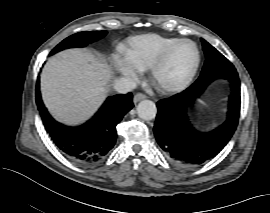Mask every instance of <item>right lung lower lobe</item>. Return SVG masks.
<instances>
[{"mask_svg":"<svg viewBox=\"0 0 270 213\" xmlns=\"http://www.w3.org/2000/svg\"><path fill=\"white\" fill-rule=\"evenodd\" d=\"M36 103L45 129L60 151L73 161L92 165L103 160L116 142V125L134 106L132 94L108 97L87 123L71 128L52 119L40 95V79L36 85Z\"/></svg>","mask_w":270,"mask_h":213,"instance_id":"98d812e1","label":"right lung lower lobe"}]
</instances>
